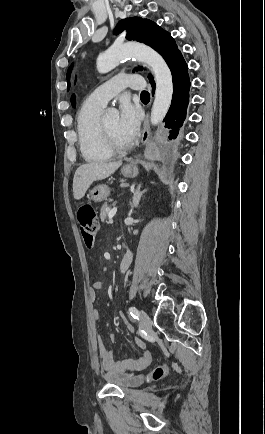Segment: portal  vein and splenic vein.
I'll use <instances>...</instances> for the list:
<instances>
[{"label":"portal vein and splenic vein","instance_id":"1","mask_svg":"<svg viewBox=\"0 0 265 434\" xmlns=\"http://www.w3.org/2000/svg\"><path fill=\"white\" fill-rule=\"evenodd\" d=\"M116 212H117V208H113V210H110L109 216H108L109 220H112V218H113V216H115Z\"/></svg>","mask_w":265,"mask_h":434}]
</instances>
